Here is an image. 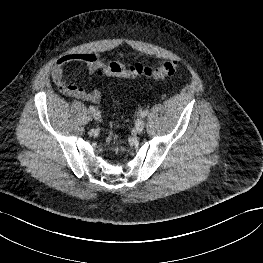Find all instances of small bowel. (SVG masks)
I'll return each instance as SVG.
<instances>
[{
  "instance_id": "1",
  "label": "small bowel",
  "mask_w": 263,
  "mask_h": 263,
  "mask_svg": "<svg viewBox=\"0 0 263 263\" xmlns=\"http://www.w3.org/2000/svg\"><path fill=\"white\" fill-rule=\"evenodd\" d=\"M77 62L85 64L91 73L97 72L98 69L104 65L101 58L94 53L79 52L64 55L56 61L51 70V77L55 85L60 92L67 96L93 103L99 102L101 99V92L99 90L94 89L87 91L65 78L64 67L68 64Z\"/></svg>"
}]
</instances>
